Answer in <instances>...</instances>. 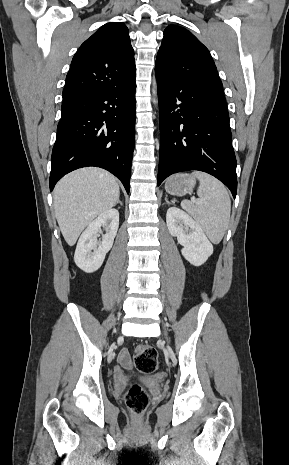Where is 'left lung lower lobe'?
Here are the masks:
<instances>
[{"mask_svg":"<svg viewBox=\"0 0 289 465\" xmlns=\"http://www.w3.org/2000/svg\"><path fill=\"white\" fill-rule=\"evenodd\" d=\"M160 158L157 185L187 170L209 173L236 197V158L223 91L157 75Z\"/></svg>","mask_w":289,"mask_h":465,"instance_id":"0a47b994","label":"left lung lower lobe"}]
</instances>
